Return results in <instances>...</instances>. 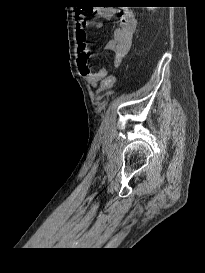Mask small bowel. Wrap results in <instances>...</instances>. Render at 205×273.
<instances>
[{
	"label": "small bowel",
	"mask_w": 205,
	"mask_h": 273,
	"mask_svg": "<svg viewBox=\"0 0 205 273\" xmlns=\"http://www.w3.org/2000/svg\"><path fill=\"white\" fill-rule=\"evenodd\" d=\"M116 12L112 8H103L95 14V17L110 19ZM117 13L119 25L114 30L113 38L106 44V49L112 53L113 63L119 66L130 51L133 36L137 29V20L131 11L120 10ZM89 24L94 25L95 21H88L83 13L76 14V40L79 52L77 65L86 81L90 85L96 86L101 80L108 77L109 72L105 68L94 72L89 65V57L92 53V46L87 42L86 27Z\"/></svg>",
	"instance_id": "small-bowel-1"
}]
</instances>
